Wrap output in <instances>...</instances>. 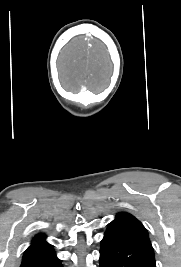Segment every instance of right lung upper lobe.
I'll return each instance as SVG.
<instances>
[{"instance_id": "right-lung-upper-lobe-1", "label": "right lung upper lobe", "mask_w": 181, "mask_h": 267, "mask_svg": "<svg viewBox=\"0 0 181 267\" xmlns=\"http://www.w3.org/2000/svg\"><path fill=\"white\" fill-rule=\"evenodd\" d=\"M45 235L40 234L33 238L31 246H44V247H51L49 243L45 241Z\"/></svg>"}]
</instances>
